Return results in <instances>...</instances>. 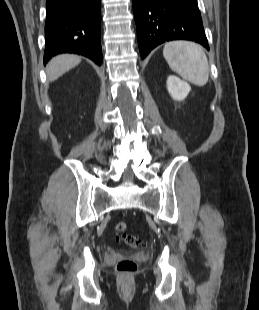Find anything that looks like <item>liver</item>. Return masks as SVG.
Returning <instances> with one entry per match:
<instances>
[{
    "instance_id": "6515ba94",
    "label": "liver",
    "mask_w": 259,
    "mask_h": 310,
    "mask_svg": "<svg viewBox=\"0 0 259 310\" xmlns=\"http://www.w3.org/2000/svg\"><path fill=\"white\" fill-rule=\"evenodd\" d=\"M81 62L77 55L63 54L53 58L46 67L49 81H55Z\"/></svg>"
}]
</instances>
